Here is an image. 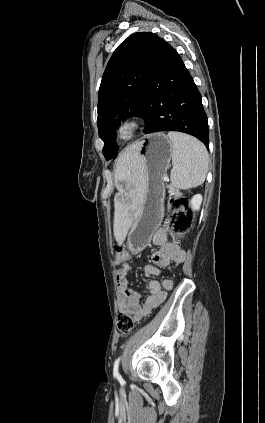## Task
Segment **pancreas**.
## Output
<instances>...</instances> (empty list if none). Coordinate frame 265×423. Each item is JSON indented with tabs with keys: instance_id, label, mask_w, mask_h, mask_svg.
Masks as SVG:
<instances>
[{
	"instance_id": "obj_1",
	"label": "pancreas",
	"mask_w": 265,
	"mask_h": 423,
	"mask_svg": "<svg viewBox=\"0 0 265 423\" xmlns=\"http://www.w3.org/2000/svg\"><path fill=\"white\" fill-rule=\"evenodd\" d=\"M170 190L176 197L179 196V192L176 189L172 188V186H170Z\"/></svg>"
}]
</instances>
